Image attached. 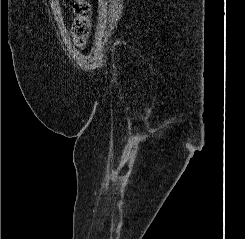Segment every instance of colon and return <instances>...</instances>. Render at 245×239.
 <instances>
[{
	"label": "colon",
	"mask_w": 245,
	"mask_h": 239,
	"mask_svg": "<svg viewBox=\"0 0 245 239\" xmlns=\"http://www.w3.org/2000/svg\"><path fill=\"white\" fill-rule=\"evenodd\" d=\"M92 5L87 0H75L73 4L74 20L71 26L73 41L76 46L83 47L92 28Z\"/></svg>",
	"instance_id": "1"
}]
</instances>
